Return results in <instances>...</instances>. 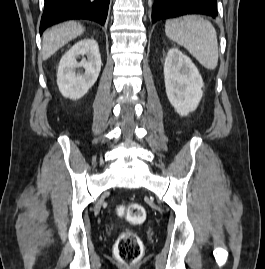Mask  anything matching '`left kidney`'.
Segmentation results:
<instances>
[{
    "label": "left kidney",
    "instance_id": "1",
    "mask_svg": "<svg viewBox=\"0 0 265 269\" xmlns=\"http://www.w3.org/2000/svg\"><path fill=\"white\" fill-rule=\"evenodd\" d=\"M166 94L175 111L187 116L196 110L203 96L202 77L189 57L171 48L164 63Z\"/></svg>",
    "mask_w": 265,
    "mask_h": 269
}]
</instances>
